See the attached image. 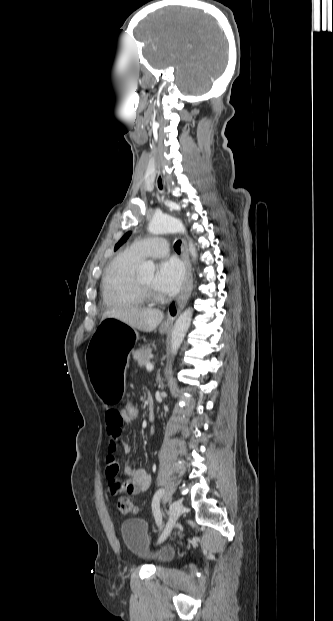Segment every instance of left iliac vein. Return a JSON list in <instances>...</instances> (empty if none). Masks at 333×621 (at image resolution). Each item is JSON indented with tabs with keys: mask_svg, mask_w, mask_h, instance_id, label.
Here are the masks:
<instances>
[{
	"mask_svg": "<svg viewBox=\"0 0 333 621\" xmlns=\"http://www.w3.org/2000/svg\"><path fill=\"white\" fill-rule=\"evenodd\" d=\"M182 512H183V504L180 501L177 500L171 503L170 508H169V519L164 528V532L161 536V540L165 539L168 536L176 520L179 518Z\"/></svg>",
	"mask_w": 333,
	"mask_h": 621,
	"instance_id": "4c4485c4",
	"label": "left iliac vein"
}]
</instances>
